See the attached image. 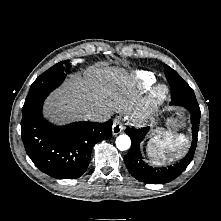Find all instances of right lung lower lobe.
Listing matches in <instances>:
<instances>
[{"instance_id":"right-lung-lower-lobe-1","label":"right lung lower lobe","mask_w":221,"mask_h":221,"mask_svg":"<svg viewBox=\"0 0 221 221\" xmlns=\"http://www.w3.org/2000/svg\"><path fill=\"white\" fill-rule=\"evenodd\" d=\"M43 103L21 121L24 147L33 163L58 179L79 178L87 169L95 143L112 136V120L55 126L42 115Z\"/></svg>"}]
</instances>
